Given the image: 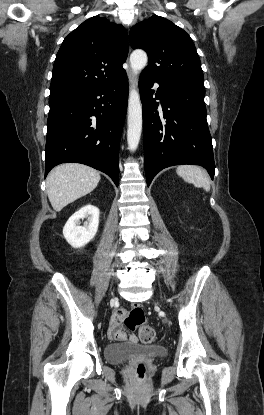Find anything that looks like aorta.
<instances>
[{
	"label": "aorta",
	"instance_id": "1",
	"mask_svg": "<svg viewBox=\"0 0 264 415\" xmlns=\"http://www.w3.org/2000/svg\"><path fill=\"white\" fill-rule=\"evenodd\" d=\"M148 61L147 54L143 50H135L130 56L132 73L137 76L146 66ZM142 131V105L140 96L135 87L129 93L128 101V129L127 143L130 151H135L138 147Z\"/></svg>",
	"mask_w": 264,
	"mask_h": 415
}]
</instances>
